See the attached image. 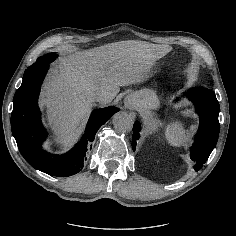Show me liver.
Here are the masks:
<instances>
[{"instance_id": "1", "label": "liver", "mask_w": 236, "mask_h": 236, "mask_svg": "<svg viewBox=\"0 0 236 236\" xmlns=\"http://www.w3.org/2000/svg\"><path fill=\"white\" fill-rule=\"evenodd\" d=\"M170 50L167 45L129 40L61 57L46 79L39 101L47 108L56 141L74 133L97 91L111 94L113 99L120 86L142 81L154 60Z\"/></svg>"}]
</instances>
